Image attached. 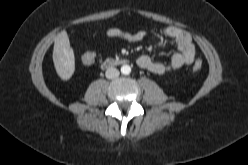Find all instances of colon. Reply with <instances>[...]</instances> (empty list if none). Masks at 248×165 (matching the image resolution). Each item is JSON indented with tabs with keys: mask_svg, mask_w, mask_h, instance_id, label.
I'll list each match as a JSON object with an SVG mask.
<instances>
[{
	"mask_svg": "<svg viewBox=\"0 0 248 165\" xmlns=\"http://www.w3.org/2000/svg\"><path fill=\"white\" fill-rule=\"evenodd\" d=\"M96 59V54L92 51H87L82 55V62L85 65H91L94 63ZM202 61L201 60H196L194 65H193V71L194 72H198L202 69Z\"/></svg>",
	"mask_w": 248,
	"mask_h": 165,
	"instance_id": "colon-1",
	"label": "colon"
}]
</instances>
